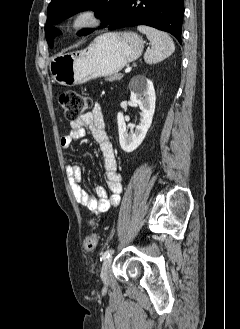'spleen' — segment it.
<instances>
[{
	"label": "spleen",
	"mask_w": 240,
	"mask_h": 329,
	"mask_svg": "<svg viewBox=\"0 0 240 329\" xmlns=\"http://www.w3.org/2000/svg\"><path fill=\"white\" fill-rule=\"evenodd\" d=\"M137 29L145 34L151 42V49L147 50L144 55L146 63H158L175 51L174 42L167 33L148 26H138Z\"/></svg>",
	"instance_id": "obj_1"
}]
</instances>
